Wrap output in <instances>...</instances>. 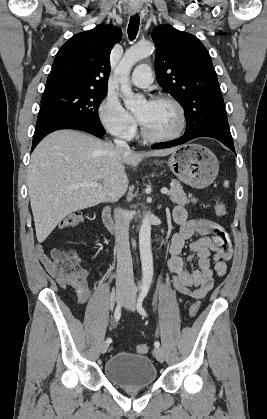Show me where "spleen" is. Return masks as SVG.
<instances>
[{
  "mask_svg": "<svg viewBox=\"0 0 267 419\" xmlns=\"http://www.w3.org/2000/svg\"><path fill=\"white\" fill-rule=\"evenodd\" d=\"M223 185H224L225 188H227V187H229V182L227 180H225Z\"/></svg>",
  "mask_w": 267,
  "mask_h": 419,
  "instance_id": "obj_1",
  "label": "spleen"
}]
</instances>
